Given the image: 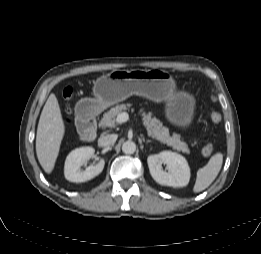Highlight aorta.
Returning a JSON list of instances; mask_svg holds the SVG:
<instances>
[{"instance_id":"aorta-1","label":"aorta","mask_w":261,"mask_h":254,"mask_svg":"<svg viewBox=\"0 0 261 254\" xmlns=\"http://www.w3.org/2000/svg\"><path fill=\"white\" fill-rule=\"evenodd\" d=\"M122 151L125 154H133L136 151V144L133 141H126L122 144Z\"/></svg>"}]
</instances>
